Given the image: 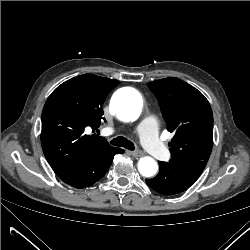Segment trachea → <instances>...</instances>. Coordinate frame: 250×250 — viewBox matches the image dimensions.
Instances as JSON below:
<instances>
[{"instance_id": "1", "label": "trachea", "mask_w": 250, "mask_h": 250, "mask_svg": "<svg viewBox=\"0 0 250 250\" xmlns=\"http://www.w3.org/2000/svg\"><path fill=\"white\" fill-rule=\"evenodd\" d=\"M110 143L114 146L124 147V148H126L128 150H132V151L135 149L134 144L130 140H128L127 138L122 137V136L114 138L113 140L110 141Z\"/></svg>"}]
</instances>
